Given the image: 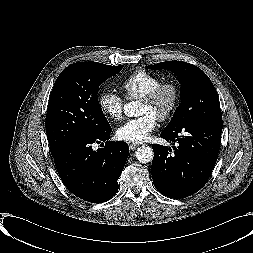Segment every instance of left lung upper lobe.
Masks as SVG:
<instances>
[{"label":"left lung upper lobe","mask_w":253,"mask_h":253,"mask_svg":"<svg viewBox=\"0 0 253 253\" xmlns=\"http://www.w3.org/2000/svg\"><path fill=\"white\" fill-rule=\"evenodd\" d=\"M148 68L169 69L181 83V104L163 132L173 133L191 122L222 121L216 89L200 68L181 61L161 62Z\"/></svg>","instance_id":"5c2ea615"}]
</instances>
